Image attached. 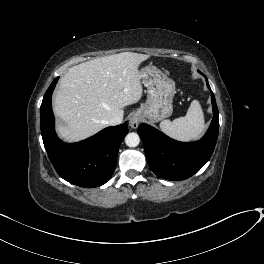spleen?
<instances>
[{
    "label": "spleen",
    "mask_w": 264,
    "mask_h": 264,
    "mask_svg": "<svg viewBox=\"0 0 264 264\" xmlns=\"http://www.w3.org/2000/svg\"><path fill=\"white\" fill-rule=\"evenodd\" d=\"M204 128V113L197 100L192 101L185 117L174 119L172 122L164 120L160 123L162 132L179 141L198 139Z\"/></svg>",
    "instance_id": "1"
}]
</instances>
